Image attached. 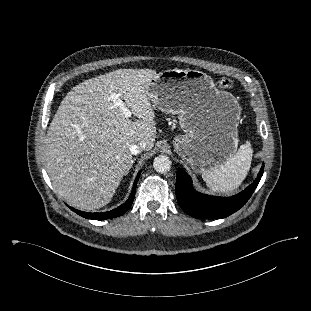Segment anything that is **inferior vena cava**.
<instances>
[{"mask_svg": "<svg viewBox=\"0 0 311 311\" xmlns=\"http://www.w3.org/2000/svg\"><path fill=\"white\" fill-rule=\"evenodd\" d=\"M145 148V143L133 144L130 146V151L133 155H137L142 152Z\"/></svg>", "mask_w": 311, "mask_h": 311, "instance_id": "inferior-vena-cava-1", "label": "inferior vena cava"}]
</instances>
